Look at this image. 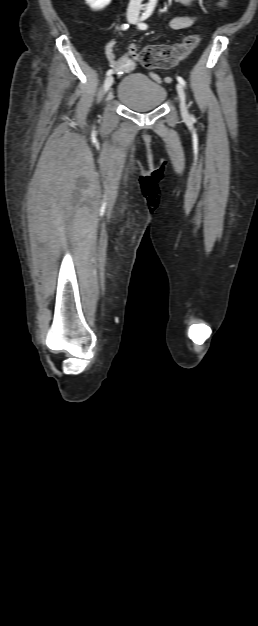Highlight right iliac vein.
<instances>
[{
	"instance_id": "63e3f726",
	"label": "right iliac vein",
	"mask_w": 258,
	"mask_h": 626,
	"mask_svg": "<svg viewBox=\"0 0 258 626\" xmlns=\"http://www.w3.org/2000/svg\"><path fill=\"white\" fill-rule=\"evenodd\" d=\"M128 21H129L130 23H133V22L135 21V18H134V17H129V18H128ZM113 82H114V77H113L112 75H109V76L105 79V82H104V91H105V92H108V91H109V89L111 88V86H112Z\"/></svg>"
}]
</instances>
